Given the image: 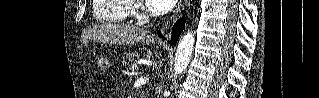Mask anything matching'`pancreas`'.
<instances>
[{"label": "pancreas", "instance_id": "obj_1", "mask_svg": "<svg viewBox=\"0 0 319 98\" xmlns=\"http://www.w3.org/2000/svg\"><path fill=\"white\" fill-rule=\"evenodd\" d=\"M139 54L138 52H125L123 55V60L124 62L128 61L131 62L133 58L138 57Z\"/></svg>", "mask_w": 319, "mask_h": 98}]
</instances>
